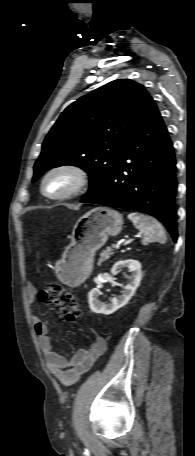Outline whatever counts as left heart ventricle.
<instances>
[{"label": "left heart ventricle", "mask_w": 195, "mask_h": 456, "mask_svg": "<svg viewBox=\"0 0 195 456\" xmlns=\"http://www.w3.org/2000/svg\"><path fill=\"white\" fill-rule=\"evenodd\" d=\"M75 183L71 173L58 172L51 175L46 181V191L50 194H62L70 190Z\"/></svg>", "instance_id": "obj_1"}]
</instances>
